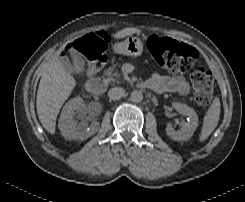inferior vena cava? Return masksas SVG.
Masks as SVG:
<instances>
[{
  "instance_id": "obj_1",
  "label": "inferior vena cava",
  "mask_w": 245,
  "mask_h": 202,
  "mask_svg": "<svg viewBox=\"0 0 245 202\" xmlns=\"http://www.w3.org/2000/svg\"><path fill=\"white\" fill-rule=\"evenodd\" d=\"M124 94L125 90L121 87L111 88L108 92V96L112 100H119L124 96Z\"/></svg>"
}]
</instances>
